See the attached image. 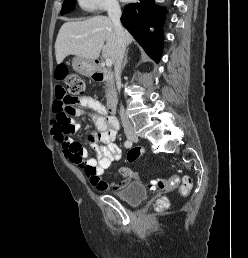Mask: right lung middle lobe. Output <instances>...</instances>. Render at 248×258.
Returning a JSON list of instances; mask_svg holds the SVG:
<instances>
[{"label":"right lung middle lobe","mask_w":248,"mask_h":258,"mask_svg":"<svg viewBox=\"0 0 248 258\" xmlns=\"http://www.w3.org/2000/svg\"><path fill=\"white\" fill-rule=\"evenodd\" d=\"M75 1L76 0H64L63 6H62V10H61V14H66L68 12H70L71 10H73L74 5H75Z\"/></svg>","instance_id":"right-lung-middle-lobe-1"}]
</instances>
